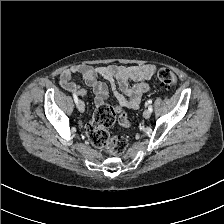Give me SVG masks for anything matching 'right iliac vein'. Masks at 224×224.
I'll return each mask as SVG.
<instances>
[{"mask_svg":"<svg viewBox=\"0 0 224 224\" xmlns=\"http://www.w3.org/2000/svg\"><path fill=\"white\" fill-rule=\"evenodd\" d=\"M77 106H78V109H79L80 112H84V110H85V105H84V102H83V101L79 100Z\"/></svg>","mask_w":224,"mask_h":224,"instance_id":"1","label":"right iliac vein"}]
</instances>
